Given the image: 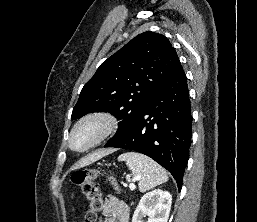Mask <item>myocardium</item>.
Segmentation results:
<instances>
[{
  "instance_id": "obj_1",
  "label": "myocardium",
  "mask_w": 257,
  "mask_h": 222,
  "mask_svg": "<svg viewBox=\"0 0 257 222\" xmlns=\"http://www.w3.org/2000/svg\"><path fill=\"white\" fill-rule=\"evenodd\" d=\"M89 122H96L100 124L101 130L98 137L90 145H88L83 149L74 148L72 145V139H73L74 133L79 127ZM118 125H119V121L117 117L110 111L96 110V111L89 112L83 115L81 118H79L71 128L69 138H68L69 148L72 151L79 152V153L89 151L90 149H93L94 147L100 145L103 141H105L110 136H112L116 132Z\"/></svg>"
}]
</instances>
